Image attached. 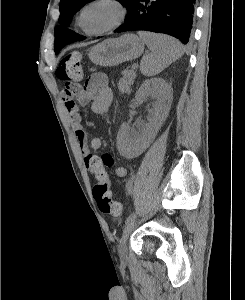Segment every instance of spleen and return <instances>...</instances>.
<instances>
[{"instance_id":"spleen-1","label":"spleen","mask_w":245,"mask_h":300,"mask_svg":"<svg viewBox=\"0 0 245 300\" xmlns=\"http://www.w3.org/2000/svg\"><path fill=\"white\" fill-rule=\"evenodd\" d=\"M151 53L142 58L140 70L145 76H154L172 62L179 59L184 51L180 42L170 36L150 32H138Z\"/></svg>"}]
</instances>
